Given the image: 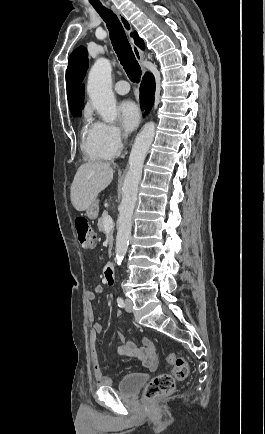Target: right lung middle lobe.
Returning <instances> with one entry per match:
<instances>
[{
	"label": "right lung middle lobe",
	"instance_id": "obj_1",
	"mask_svg": "<svg viewBox=\"0 0 265 434\" xmlns=\"http://www.w3.org/2000/svg\"><path fill=\"white\" fill-rule=\"evenodd\" d=\"M84 103H75L72 105H69L70 111L74 117H80L81 116V110L83 109Z\"/></svg>",
	"mask_w": 265,
	"mask_h": 434
}]
</instances>
